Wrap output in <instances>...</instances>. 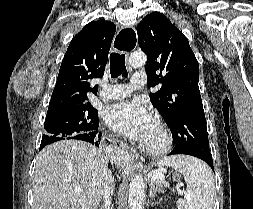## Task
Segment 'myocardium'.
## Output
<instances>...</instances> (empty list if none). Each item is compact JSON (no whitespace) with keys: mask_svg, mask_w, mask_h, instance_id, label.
Listing matches in <instances>:
<instances>
[{"mask_svg":"<svg viewBox=\"0 0 253 209\" xmlns=\"http://www.w3.org/2000/svg\"><path fill=\"white\" fill-rule=\"evenodd\" d=\"M155 124L158 126L160 129L162 139L159 145L157 146H149L143 142L140 143L139 147L140 149L145 152L146 154L152 155V156H157L164 154L167 152L171 145H172V135L169 127L167 124L160 118H156L154 120Z\"/></svg>","mask_w":253,"mask_h":209,"instance_id":"obj_1","label":"myocardium"}]
</instances>
